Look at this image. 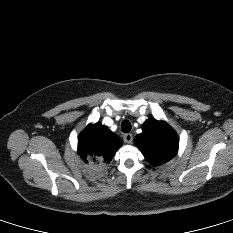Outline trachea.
I'll return each instance as SVG.
<instances>
[{"label":"trachea","mask_w":233,"mask_h":233,"mask_svg":"<svg viewBox=\"0 0 233 233\" xmlns=\"http://www.w3.org/2000/svg\"><path fill=\"white\" fill-rule=\"evenodd\" d=\"M121 130L122 132L124 133H128L131 131V123L128 121V120H124L122 123H121Z\"/></svg>","instance_id":"trachea-1"}]
</instances>
